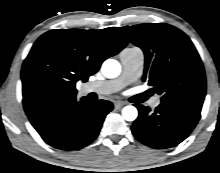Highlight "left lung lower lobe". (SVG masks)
Listing matches in <instances>:
<instances>
[{
    "mask_svg": "<svg viewBox=\"0 0 220 173\" xmlns=\"http://www.w3.org/2000/svg\"><path fill=\"white\" fill-rule=\"evenodd\" d=\"M138 118L131 129L134 136L143 144L165 149L181 143L195 128L200 113L161 103L154 112L149 107L136 105Z\"/></svg>",
    "mask_w": 220,
    "mask_h": 173,
    "instance_id": "obj_1",
    "label": "left lung lower lobe"
}]
</instances>
